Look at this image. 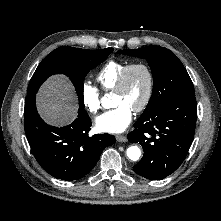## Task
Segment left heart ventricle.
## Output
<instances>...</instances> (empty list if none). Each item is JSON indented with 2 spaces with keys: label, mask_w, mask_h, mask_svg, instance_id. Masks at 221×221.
Returning a JSON list of instances; mask_svg holds the SVG:
<instances>
[{
  "label": "left heart ventricle",
  "mask_w": 221,
  "mask_h": 221,
  "mask_svg": "<svg viewBox=\"0 0 221 221\" xmlns=\"http://www.w3.org/2000/svg\"><path fill=\"white\" fill-rule=\"evenodd\" d=\"M147 90V76L141 68H135L129 74L122 92H114V105L126 104L134 110L143 100Z\"/></svg>",
  "instance_id": "b2bd125f"
}]
</instances>
